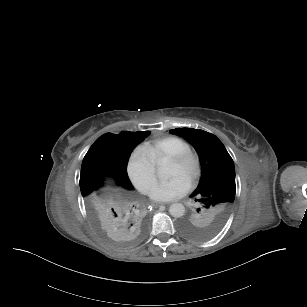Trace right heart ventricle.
I'll return each instance as SVG.
<instances>
[{"mask_svg":"<svg viewBox=\"0 0 307 307\" xmlns=\"http://www.w3.org/2000/svg\"><path fill=\"white\" fill-rule=\"evenodd\" d=\"M190 145L192 143L188 138L169 135L164 138L162 146L158 149L156 155L158 158H168V156L176 154Z\"/></svg>","mask_w":307,"mask_h":307,"instance_id":"right-heart-ventricle-1","label":"right heart ventricle"}]
</instances>
